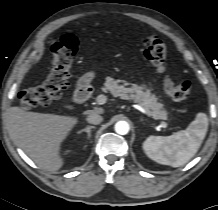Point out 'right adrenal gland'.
I'll return each instance as SVG.
<instances>
[{
    "label": "right adrenal gland",
    "instance_id": "obj_1",
    "mask_svg": "<svg viewBox=\"0 0 218 210\" xmlns=\"http://www.w3.org/2000/svg\"><path fill=\"white\" fill-rule=\"evenodd\" d=\"M95 126H87L85 129H82L81 131H79L78 133H82V132H86L88 135V138H90L91 136V129H94Z\"/></svg>",
    "mask_w": 218,
    "mask_h": 210
}]
</instances>
